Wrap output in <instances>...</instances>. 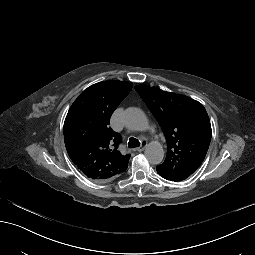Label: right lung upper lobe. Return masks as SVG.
<instances>
[{
  "instance_id": "1",
  "label": "right lung upper lobe",
  "mask_w": 255,
  "mask_h": 255,
  "mask_svg": "<svg viewBox=\"0 0 255 255\" xmlns=\"http://www.w3.org/2000/svg\"><path fill=\"white\" fill-rule=\"evenodd\" d=\"M132 83L103 81L85 89L64 122L69 157L90 179L107 181L127 169L130 155L118 149L121 137L109 126L112 113L129 94Z\"/></svg>"
}]
</instances>
